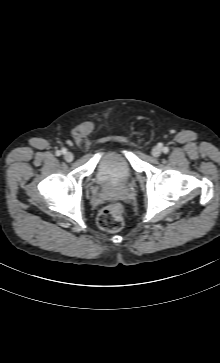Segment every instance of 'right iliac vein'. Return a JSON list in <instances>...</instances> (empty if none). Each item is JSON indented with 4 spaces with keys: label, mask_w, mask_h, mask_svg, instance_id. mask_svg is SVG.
Here are the masks:
<instances>
[{
    "label": "right iliac vein",
    "mask_w": 220,
    "mask_h": 363,
    "mask_svg": "<svg viewBox=\"0 0 220 363\" xmlns=\"http://www.w3.org/2000/svg\"><path fill=\"white\" fill-rule=\"evenodd\" d=\"M64 159L67 162H71L74 159V155L71 152H65Z\"/></svg>",
    "instance_id": "1"
}]
</instances>
